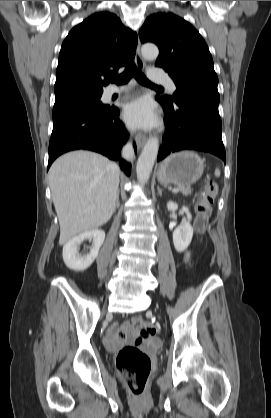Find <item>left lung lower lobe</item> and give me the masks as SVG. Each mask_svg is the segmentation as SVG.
Listing matches in <instances>:
<instances>
[{"instance_id": "left-lung-lower-lobe-1", "label": "left lung lower lobe", "mask_w": 271, "mask_h": 418, "mask_svg": "<svg viewBox=\"0 0 271 418\" xmlns=\"http://www.w3.org/2000/svg\"><path fill=\"white\" fill-rule=\"evenodd\" d=\"M157 100L165 110L168 128L157 161L173 152L197 150L212 153L226 163L219 103L187 94H182L173 106Z\"/></svg>"}]
</instances>
